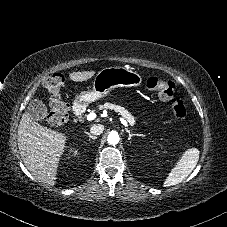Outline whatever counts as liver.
<instances>
[{"instance_id":"1","label":"liver","mask_w":227,"mask_h":227,"mask_svg":"<svg viewBox=\"0 0 227 227\" xmlns=\"http://www.w3.org/2000/svg\"><path fill=\"white\" fill-rule=\"evenodd\" d=\"M94 74V71L73 72L69 78L74 82H82ZM17 135L20 156L27 169L43 184L55 185L67 136L33 121L28 112L22 115Z\"/></svg>"}]
</instances>
